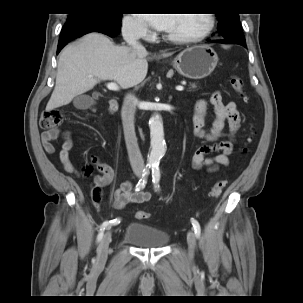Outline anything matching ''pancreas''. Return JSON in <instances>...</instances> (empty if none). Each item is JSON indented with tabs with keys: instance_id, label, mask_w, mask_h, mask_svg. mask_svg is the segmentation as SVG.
Segmentation results:
<instances>
[{
	"instance_id": "cf45deb5",
	"label": "pancreas",
	"mask_w": 303,
	"mask_h": 303,
	"mask_svg": "<svg viewBox=\"0 0 303 303\" xmlns=\"http://www.w3.org/2000/svg\"><path fill=\"white\" fill-rule=\"evenodd\" d=\"M197 85L195 83H190V89H195Z\"/></svg>"
}]
</instances>
